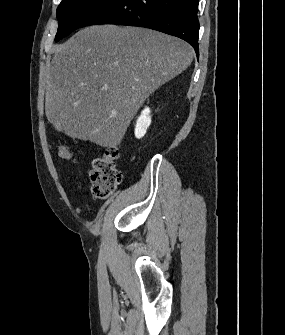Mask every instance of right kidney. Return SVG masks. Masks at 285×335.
Masks as SVG:
<instances>
[{
  "label": "right kidney",
  "mask_w": 285,
  "mask_h": 335,
  "mask_svg": "<svg viewBox=\"0 0 285 335\" xmlns=\"http://www.w3.org/2000/svg\"><path fill=\"white\" fill-rule=\"evenodd\" d=\"M151 110L150 108H145L143 112H141V116H139L136 122L135 128V136L136 138H143L147 132V128H149L151 124Z\"/></svg>",
  "instance_id": "ca27d5eb"
}]
</instances>
